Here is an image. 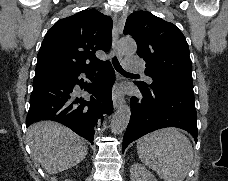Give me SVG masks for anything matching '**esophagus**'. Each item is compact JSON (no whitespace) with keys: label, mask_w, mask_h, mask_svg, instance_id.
<instances>
[{"label":"esophagus","mask_w":228,"mask_h":181,"mask_svg":"<svg viewBox=\"0 0 228 181\" xmlns=\"http://www.w3.org/2000/svg\"><path fill=\"white\" fill-rule=\"evenodd\" d=\"M123 27L119 24L118 18L115 16L113 19V50L116 53L117 57L121 60L123 54L118 49V38L119 33L122 31ZM124 97L118 96L113 101L114 108H119V106L123 105Z\"/></svg>","instance_id":"34e87169"}]
</instances>
